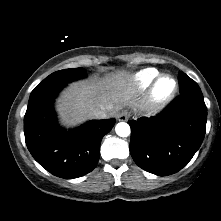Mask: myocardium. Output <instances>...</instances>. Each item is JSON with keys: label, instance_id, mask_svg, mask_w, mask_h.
Returning a JSON list of instances; mask_svg holds the SVG:
<instances>
[{"label": "myocardium", "instance_id": "1", "mask_svg": "<svg viewBox=\"0 0 221 221\" xmlns=\"http://www.w3.org/2000/svg\"><path fill=\"white\" fill-rule=\"evenodd\" d=\"M163 79H170L173 83V87L168 93L160 95L158 92V86ZM177 90L178 82L173 76H171L170 74H160L154 79L151 84L149 91L150 103L156 108H161L173 99V97L177 93Z\"/></svg>", "mask_w": 221, "mask_h": 221}]
</instances>
